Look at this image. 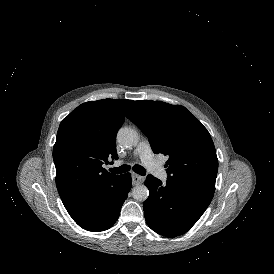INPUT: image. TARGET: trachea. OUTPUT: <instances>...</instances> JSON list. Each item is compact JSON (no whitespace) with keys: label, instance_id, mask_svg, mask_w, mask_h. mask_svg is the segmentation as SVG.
<instances>
[{"label":"trachea","instance_id":"1","mask_svg":"<svg viewBox=\"0 0 274 274\" xmlns=\"http://www.w3.org/2000/svg\"><path fill=\"white\" fill-rule=\"evenodd\" d=\"M130 169H131L130 165H122L120 167L111 168L109 169V171L115 174H121V173L128 172ZM132 170L140 175H145L146 173L145 169L140 165H134L132 167Z\"/></svg>","mask_w":274,"mask_h":274}]
</instances>
